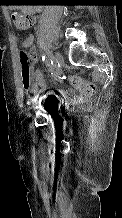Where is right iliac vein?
I'll return each mask as SVG.
<instances>
[{
    "label": "right iliac vein",
    "instance_id": "right-iliac-vein-1",
    "mask_svg": "<svg viewBox=\"0 0 122 218\" xmlns=\"http://www.w3.org/2000/svg\"><path fill=\"white\" fill-rule=\"evenodd\" d=\"M50 59L53 61L54 67L57 70H60L63 64V58L59 52H55L54 55L50 56Z\"/></svg>",
    "mask_w": 122,
    "mask_h": 218
}]
</instances>
